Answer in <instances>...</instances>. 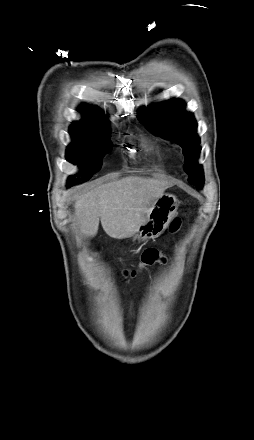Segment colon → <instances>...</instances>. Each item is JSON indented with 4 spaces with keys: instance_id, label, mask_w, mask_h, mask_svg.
<instances>
[{
    "instance_id": "obj_1",
    "label": "colon",
    "mask_w": 254,
    "mask_h": 440,
    "mask_svg": "<svg viewBox=\"0 0 254 440\" xmlns=\"http://www.w3.org/2000/svg\"><path fill=\"white\" fill-rule=\"evenodd\" d=\"M180 225L181 220L175 219L170 226L171 232H176L179 229ZM164 261L165 256L161 250L156 248H146L141 254V261L137 268L128 270L127 274H129L130 276H134L138 271L154 264L163 263Z\"/></svg>"
}]
</instances>
